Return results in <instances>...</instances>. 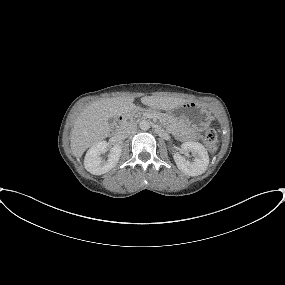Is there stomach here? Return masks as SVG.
<instances>
[{
  "label": "stomach",
  "mask_w": 285,
  "mask_h": 285,
  "mask_svg": "<svg viewBox=\"0 0 285 285\" xmlns=\"http://www.w3.org/2000/svg\"><path fill=\"white\" fill-rule=\"evenodd\" d=\"M171 114L195 131H203L211 122V113L202 104L189 101L173 109Z\"/></svg>",
  "instance_id": "stomach-1"
}]
</instances>
